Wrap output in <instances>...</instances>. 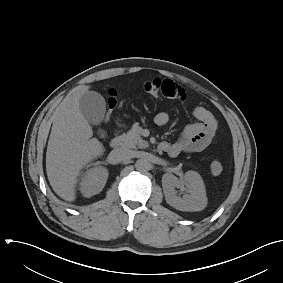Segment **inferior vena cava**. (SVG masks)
Here are the masks:
<instances>
[{
  "instance_id": "1",
  "label": "inferior vena cava",
  "mask_w": 283,
  "mask_h": 283,
  "mask_svg": "<svg viewBox=\"0 0 283 283\" xmlns=\"http://www.w3.org/2000/svg\"><path fill=\"white\" fill-rule=\"evenodd\" d=\"M134 152L126 148H117L111 151L110 161L113 164H117L123 161L130 160L133 158Z\"/></svg>"
}]
</instances>
